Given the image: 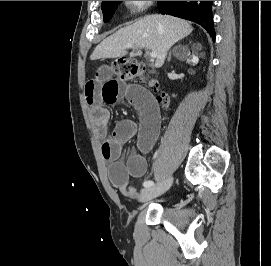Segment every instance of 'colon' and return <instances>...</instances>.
<instances>
[{"label":"colon","mask_w":271,"mask_h":266,"mask_svg":"<svg viewBox=\"0 0 271 266\" xmlns=\"http://www.w3.org/2000/svg\"><path fill=\"white\" fill-rule=\"evenodd\" d=\"M112 71L121 80H131L144 71V66L134 59L119 58L113 62ZM158 101L166 105L168 98L165 94H160Z\"/></svg>","instance_id":"obj_1"}]
</instances>
